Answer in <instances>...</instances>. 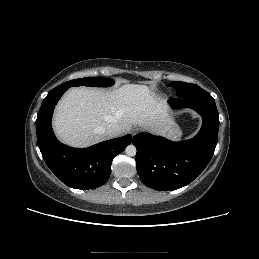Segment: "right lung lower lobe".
<instances>
[{"label": "right lung lower lobe", "instance_id": "right-lung-lower-lobe-1", "mask_svg": "<svg viewBox=\"0 0 259 259\" xmlns=\"http://www.w3.org/2000/svg\"><path fill=\"white\" fill-rule=\"evenodd\" d=\"M67 89L56 87L43 100L36 120L38 146L49 169L64 184L75 189H95L108 180L113 158L132 142V137L128 134L84 149L61 144L53 133L51 118Z\"/></svg>", "mask_w": 259, "mask_h": 259}]
</instances>
